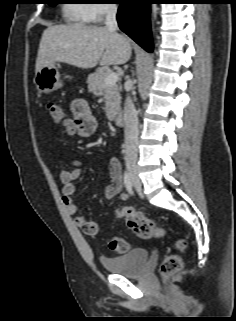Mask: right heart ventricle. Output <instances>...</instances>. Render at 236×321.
<instances>
[{
	"label": "right heart ventricle",
	"mask_w": 236,
	"mask_h": 321,
	"mask_svg": "<svg viewBox=\"0 0 236 321\" xmlns=\"http://www.w3.org/2000/svg\"><path fill=\"white\" fill-rule=\"evenodd\" d=\"M76 0L64 7V17L69 23L85 24L89 20L87 18L88 5Z\"/></svg>",
	"instance_id": "right-heart-ventricle-1"
}]
</instances>
